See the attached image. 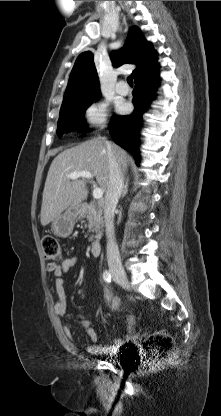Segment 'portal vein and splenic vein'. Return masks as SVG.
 I'll list each match as a JSON object with an SVG mask.
<instances>
[{
    "label": "portal vein and splenic vein",
    "mask_w": 221,
    "mask_h": 416,
    "mask_svg": "<svg viewBox=\"0 0 221 416\" xmlns=\"http://www.w3.org/2000/svg\"><path fill=\"white\" fill-rule=\"evenodd\" d=\"M93 176L94 175L89 171H77V172H72L68 175V177L72 180L78 179L80 177L86 178V179H92ZM93 197L94 199H101L103 197L102 189L95 187L93 190Z\"/></svg>",
    "instance_id": "portal-vein-and-splenic-vein-1"
}]
</instances>
